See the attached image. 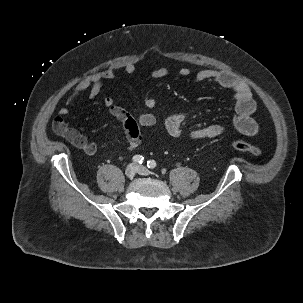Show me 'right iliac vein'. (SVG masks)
<instances>
[{
    "mask_svg": "<svg viewBox=\"0 0 303 303\" xmlns=\"http://www.w3.org/2000/svg\"><path fill=\"white\" fill-rule=\"evenodd\" d=\"M137 172L136 166L134 164H129L125 169V175L128 178H133Z\"/></svg>",
    "mask_w": 303,
    "mask_h": 303,
    "instance_id": "right-iliac-vein-1",
    "label": "right iliac vein"
}]
</instances>
